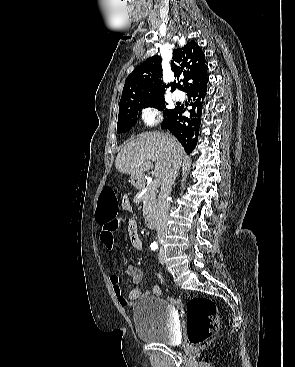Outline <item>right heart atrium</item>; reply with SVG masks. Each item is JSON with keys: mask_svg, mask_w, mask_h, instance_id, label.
<instances>
[{"mask_svg": "<svg viewBox=\"0 0 295 367\" xmlns=\"http://www.w3.org/2000/svg\"><path fill=\"white\" fill-rule=\"evenodd\" d=\"M141 120L147 126H153L159 121V112L153 107H145L141 111Z\"/></svg>", "mask_w": 295, "mask_h": 367, "instance_id": "1", "label": "right heart atrium"}]
</instances>
